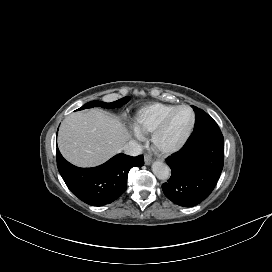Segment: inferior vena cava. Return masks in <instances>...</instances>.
Wrapping results in <instances>:
<instances>
[{"mask_svg": "<svg viewBox=\"0 0 272 272\" xmlns=\"http://www.w3.org/2000/svg\"><path fill=\"white\" fill-rule=\"evenodd\" d=\"M121 150L127 155L137 156L141 154L142 147L138 142L130 140L121 148Z\"/></svg>", "mask_w": 272, "mask_h": 272, "instance_id": "obj_1", "label": "inferior vena cava"}]
</instances>
